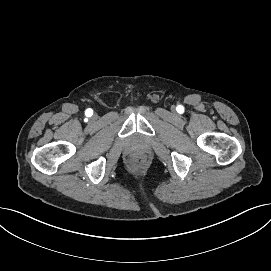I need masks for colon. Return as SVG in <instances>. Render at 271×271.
I'll list each match as a JSON object with an SVG mask.
<instances>
[{"mask_svg": "<svg viewBox=\"0 0 271 271\" xmlns=\"http://www.w3.org/2000/svg\"><path fill=\"white\" fill-rule=\"evenodd\" d=\"M143 163H144V159H143L142 157H136V158H134V159L132 160V164H133L134 166H137V167L142 166Z\"/></svg>", "mask_w": 271, "mask_h": 271, "instance_id": "1", "label": "colon"}]
</instances>
